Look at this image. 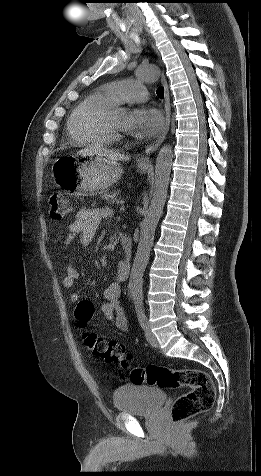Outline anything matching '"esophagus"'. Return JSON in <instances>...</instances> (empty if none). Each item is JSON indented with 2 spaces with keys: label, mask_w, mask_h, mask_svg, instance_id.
<instances>
[{
  "label": "esophagus",
  "mask_w": 261,
  "mask_h": 476,
  "mask_svg": "<svg viewBox=\"0 0 261 476\" xmlns=\"http://www.w3.org/2000/svg\"><path fill=\"white\" fill-rule=\"evenodd\" d=\"M161 83L164 87V108H165V125L162 131L157 135L156 139L149 144L144 152V155L139 159L138 165L140 166H149L150 164V155L156 151L159 146L164 141L170 126V98H169V89L164 73L162 74Z\"/></svg>",
  "instance_id": "1"
}]
</instances>
